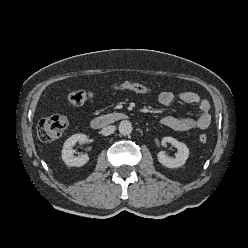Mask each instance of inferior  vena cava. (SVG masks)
<instances>
[{
  "label": "inferior vena cava",
  "instance_id": "1",
  "mask_svg": "<svg viewBox=\"0 0 248 248\" xmlns=\"http://www.w3.org/2000/svg\"><path fill=\"white\" fill-rule=\"evenodd\" d=\"M115 130H116V127L114 125L106 126L101 130V134L103 136H108L114 133Z\"/></svg>",
  "mask_w": 248,
  "mask_h": 248
}]
</instances>
